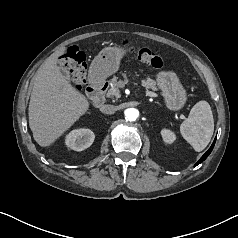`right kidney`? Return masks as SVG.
Instances as JSON below:
<instances>
[{
	"instance_id": "obj_1",
	"label": "right kidney",
	"mask_w": 238,
	"mask_h": 238,
	"mask_svg": "<svg viewBox=\"0 0 238 238\" xmlns=\"http://www.w3.org/2000/svg\"><path fill=\"white\" fill-rule=\"evenodd\" d=\"M94 139L95 135L90 129H75L66 136L65 144L74 151H82L90 147Z\"/></svg>"
}]
</instances>
